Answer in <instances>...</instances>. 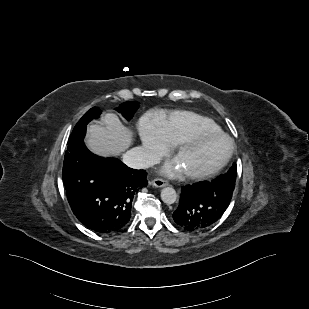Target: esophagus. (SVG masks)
Listing matches in <instances>:
<instances>
[{"mask_svg":"<svg viewBox=\"0 0 309 309\" xmlns=\"http://www.w3.org/2000/svg\"><path fill=\"white\" fill-rule=\"evenodd\" d=\"M168 184L167 180L162 179V178H156L154 180L151 181V185L154 187H164Z\"/></svg>","mask_w":309,"mask_h":309,"instance_id":"1","label":"esophagus"}]
</instances>
